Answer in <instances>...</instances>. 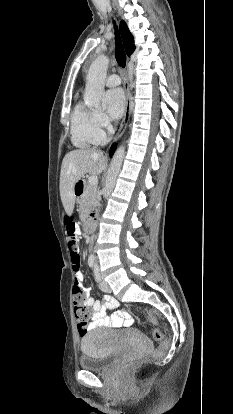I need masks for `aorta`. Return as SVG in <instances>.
<instances>
[{
    "label": "aorta",
    "instance_id": "obj_1",
    "mask_svg": "<svg viewBox=\"0 0 233 414\" xmlns=\"http://www.w3.org/2000/svg\"><path fill=\"white\" fill-rule=\"evenodd\" d=\"M109 65V58L104 55H99L91 64L87 79L84 94V103L87 107L96 110L101 109V98L104 92L105 78ZM125 155V147L120 146L114 153L111 164L107 173L105 186L102 190L104 198H107L113 191L116 179L122 166ZM90 261L95 260L94 255L89 256Z\"/></svg>",
    "mask_w": 233,
    "mask_h": 414
}]
</instances>
